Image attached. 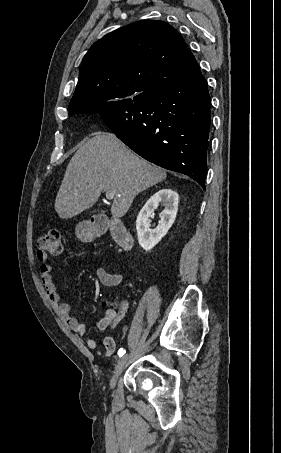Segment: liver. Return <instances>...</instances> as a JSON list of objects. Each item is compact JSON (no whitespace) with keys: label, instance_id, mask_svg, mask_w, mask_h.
I'll use <instances>...</instances> for the list:
<instances>
[{"label":"liver","instance_id":"liver-1","mask_svg":"<svg viewBox=\"0 0 281 453\" xmlns=\"http://www.w3.org/2000/svg\"><path fill=\"white\" fill-rule=\"evenodd\" d=\"M166 178V172L132 152L112 132L86 140L72 156L55 198L60 218H72L97 202L101 192H114L111 212L124 216L135 196Z\"/></svg>","mask_w":281,"mask_h":453}]
</instances>
